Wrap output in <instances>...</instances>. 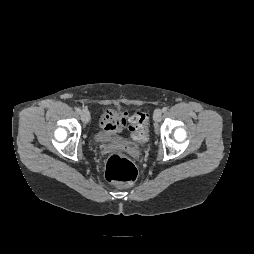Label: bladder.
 <instances>
[{"label": "bladder", "instance_id": "1", "mask_svg": "<svg viewBox=\"0 0 254 254\" xmlns=\"http://www.w3.org/2000/svg\"><path fill=\"white\" fill-rule=\"evenodd\" d=\"M107 138H108V136L104 133H101V132L97 133L95 136V139L99 142L105 141Z\"/></svg>", "mask_w": 254, "mask_h": 254}]
</instances>
